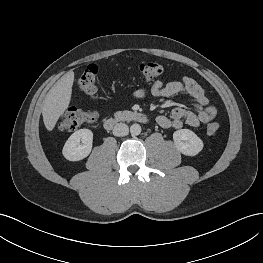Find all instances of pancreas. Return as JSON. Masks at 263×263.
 <instances>
[{
  "mask_svg": "<svg viewBox=\"0 0 263 263\" xmlns=\"http://www.w3.org/2000/svg\"><path fill=\"white\" fill-rule=\"evenodd\" d=\"M131 114H132V112L131 111H127V110H125V111H118V112L114 113V117L117 120H122V119H124L125 117H127V116H129Z\"/></svg>",
  "mask_w": 263,
  "mask_h": 263,
  "instance_id": "obj_1",
  "label": "pancreas"
}]
</instances>
